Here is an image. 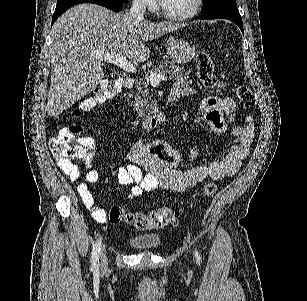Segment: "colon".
<instances>
[{
    "label": "colon",
    "instance_id": "1",
    "mask_svg": "<svg viewBox=\"0 0 307 301\" xmlns=\"http://www.w3.org/2000/svg\"><path fill=\"white\" fill-rule=\"evenodd\" d=\"M197 73L206 88H218L222 81L214 71V64L208 53L201 51L197 55ZM121 88L120 81H104L95 94L82 100L76 110L77 114L91 110L97 104L116 95ZM237 101L243 108L252 106L255 102L252 90L247 86H239L236 90ZM82 127L78 125L66 127L58 132L49 142L51 152L55 156L80 160L87 156L88 150L84 145ZM217 191L214 181L206 182L202 187L205 197H212ZM176 213L167 207H161L147 212H129L120 206H113L109 211V221L112 224L126 223L137 230L164 228L175 222Z\"/></svg>",
    "mask_w": 307,
    "mask_h": 301
}]
</instances>
